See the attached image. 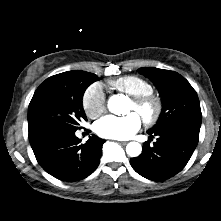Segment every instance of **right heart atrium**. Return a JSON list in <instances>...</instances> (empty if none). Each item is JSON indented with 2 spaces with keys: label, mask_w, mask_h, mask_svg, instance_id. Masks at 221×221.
Returning a JSON list of instances; mask_svg holds the SVG:
<instances>
[{
  "label": "right heart atrium",
  "mask_w": 221,
  "mask_h": 221,
  "mask_svg": "<svg viewBox=\"0 0 221 221\" xmlns=\"http://www.w3.org/2000/svg\"><path fill=\"white\" fill-rule=\"evenodd\" d=\"M82 107L90 118H97L106 110V97L101 84L93 83L82 96Z\"/></svg>",
  "instance_id": "1"
}]
</instances>
